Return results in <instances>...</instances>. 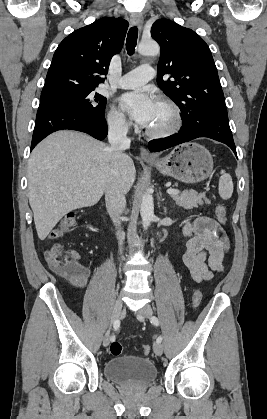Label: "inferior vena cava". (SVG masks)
Instances as JSON below:
<instances>
[{
    "mask_svg": "<svg viewBox=\"0 0 267 419\" xmlns=\"http://www.w3.org/2000/svg\"><path fill=\"white\" fill-rule=\"evenodd\" d=\"M127 132L128 126L122 119L113 121L109 125L108 140L111 145L109 151L113 163H116L123 156L124 150L130 148V139L127 138ZM125 193V183L120 179L118 174L113 173L107 180L105 186V202L107 211L117 228L120 227V215L126 205ZM116 235L121 246L125 239V234L118 229Z\"/></svg>",
    "mask_w": 267,
    "mask_h": 419,
    "instance_id": "inferior-vena-cava-1",
    "label": "inferior vena cava"
}]
</instances>
